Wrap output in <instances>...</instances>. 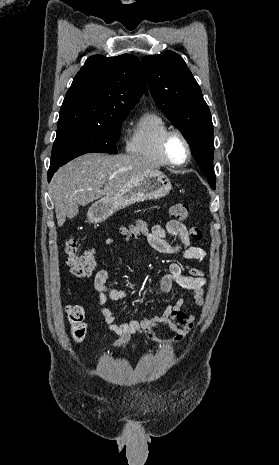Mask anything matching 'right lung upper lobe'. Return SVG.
<instances>
[{
	"instance_id": "1",
	"label": "right lung upper lobe",
	"mask_w": 279,
	"mask_h": 465,
	"mask_svg": "<svg viewBox=\"0 0 279 465\" xmlns=\"http://www.w3.org/2000/svg\"><path fill=\"white\" fill-rule=\"evenodd\" d=\"M146 84L134 55H94L75 76L58 120V127L74 123H100L114 110H131Z\"/></svg>"
}]
</instances>
